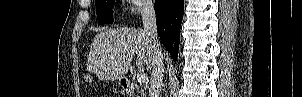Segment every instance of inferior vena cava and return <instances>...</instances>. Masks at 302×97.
<instances>
[{
	"mask_svg": "<svg viewBox=\"0 0 302 97\" xmlns=\"http://www.w3.org/2000/svg\"><path fill=\"white\" fill-rule=\"evenodd\" d=\"M141 15L144 31L146 35L150 37L153 48V58L151 65L152 77L151 85L149 88V97H160L164 75V64L163 54L158 39L154 4L152 3V1H146L143 4Z\"/></svg>",
	"mask_w": 302,
	"mask_h": 97,
	"instance_id": "1",
	"label": "inferior vena cava"
}]
</instances>
